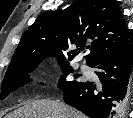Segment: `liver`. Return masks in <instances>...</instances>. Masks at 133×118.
<instances>
[{
    "instance_id": "6515ba94",
    "label": "liver",
    "mask_w": 133,
    "mask_h": 118,
    "mask_svg": "<svg viewBox=\"0 0 133 118\" xmlns=\"http://www.w3.org/2000/svg\"><path fill=\"white\" fill-rule=\"evenodd\" d=\"M6 118H86V116L60 101L43 99L27 102Z\"/></svg>"
}]
</instances>
